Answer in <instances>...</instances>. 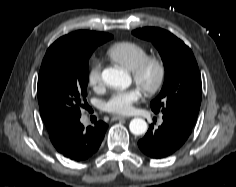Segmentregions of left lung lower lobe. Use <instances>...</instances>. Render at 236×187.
Masks as SVG:
<instances>
[{"label":"left lung lower lobe","mask_w":236,"mask_h":187,"mask_svg":"<svg viewBox=\"0 0 236 187\" xmlns=\"http://www.w3.org/2000/svg\"><path fill=\"white\" fill-rule=\"evenodd\" d=\"M193 126L172 116L163 115V123L154 130L150 125L146 135L138 141L147 156L160 159L177 151L191 134Z\"/></svg>","instance_id":"obj_1"}]
</instances>
